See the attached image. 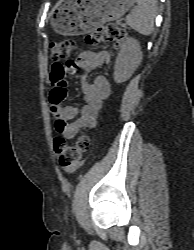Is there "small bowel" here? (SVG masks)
<instances>
[{
    "mask_svg": "<svg viewBox=\"0 0 194 250\" xmlns=\"http://www.w3.org/2000/svg\"><path fill=\"white\" fill-rule=\"evenodd\" d=\"M110 55L107 50L84 51L79 59L74 62L64 64H54L51 75H64L76 70L82 71L81 89L84 93V104L81 108L72 105L61 106L53 104V115L55 117V131L66 139L74 138L83 128H93L97 122L98 113L102 107L103 101L110 95V83L104 76H97L92 81L86 77L93 69L108 63ZM57 88H66V83L58 82ZM82 162L76 163L67 172L76 170Z\"/></svg>",
    "mask_w": 194,
    "mask_h": 250,
    "instance_id": "obj_1",
    "label": "small bowel"
}]
</instances>
